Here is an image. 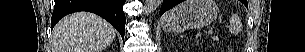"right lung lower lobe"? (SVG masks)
Wrapping results in <instances>:
<instances>
[{"label": "right lung lower lobe", "mask_w": 305, "mask_h": 52, "mask_svg": "<svg viewBox=\"0 0 305 52\" xmlns=\"http://www.w3.org/2000/svg\"><path fill=\"white\" fill-rule=\"evenodd\" d=\"M126 0H55L51 29L65 15L76 11L95 13L111 23L124 39L126 18L122 10Z\"/></svg>", "instance_id": "1"}]
</instances>
